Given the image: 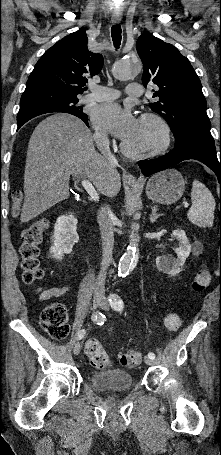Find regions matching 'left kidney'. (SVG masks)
Segmentation results:
<instances>
[{
    "label": "left kidney",
    "mask_w": 221,
    "mask_h": 455,
    "mask_svg": "<svg viewBox=\"0 0 221 455\" xmlns=\"http://www.w3.org/2000/svg\"><path fill=\"white\" fill-rule=\"evenodd\" d=\"M172 235L179 243V247L175 249L178 259L174 260L170 256H158L156 258V266L162 272L174 276L181 272V269L191 252V245L184 230L176 229L172 232Z\"/></svg>",
    "instance_id": "obj_1"
}]
</instances>
